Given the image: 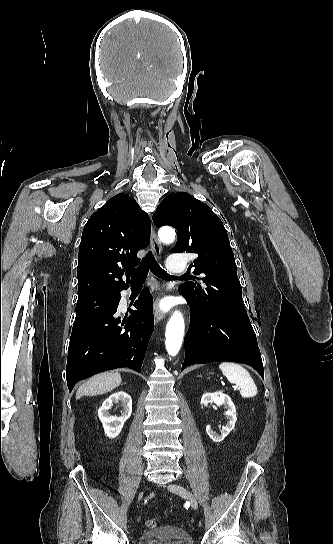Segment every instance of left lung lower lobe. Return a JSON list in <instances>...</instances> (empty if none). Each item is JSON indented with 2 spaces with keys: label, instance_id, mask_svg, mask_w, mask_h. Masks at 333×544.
<instances>
[{
  "label": "left lung lower lobe",
  "instance_id": "0a47b994",
  "mask_svg": "<svg viewBox=\"0 0 333 544\" xmlns=\"http://www.w3.org/2000/svg\"><path fill=\"white\" fill-rule=\"evenodd\" d=\"M180 293L187 300L192 313L185 336L182 370L191 364L232 361L250 365L264 378L261 353L253 329L221 317Z\"/></svg>",
  "mask_w": 333,
  "mask_h": 544
}]
</instances>
